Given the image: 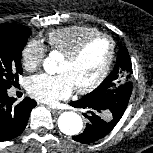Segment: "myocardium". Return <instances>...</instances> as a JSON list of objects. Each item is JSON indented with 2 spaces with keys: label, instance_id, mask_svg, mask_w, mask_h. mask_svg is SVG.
Returning <instances> with one entry per match:
<instances>
[{
  "label": "myocardium",
  "instance_id": "myocardium-1",
  "mask_svg": "<svg viewBox=\"0 0 153 153\" xmlns=\"http://www.w3.org/2000/svg\"><path fill=\"white\" fill-rule=\"evenodd\" d=\"M106 39L109 41L110 43V51H109V56L107 58V61L102 69V71L100 72V74L88 85L84 86V87H76L75 91L80 93V94H87L89 92H92L93 90H95L107 77V75L109 74L114 58H115V52H116V44L114 39L105 34V33H97L94 35H91L87 38H85L83 41H81L72 51H70L69 53H67L66 55H64V58L69 61V62H73L76 59H78L80 57V55L83 53V51L86 49V47L93 41L97 40V39Z\"/></svg>",
  "mask_w": 153,
  "mask_h": 153
}]
</instances>
